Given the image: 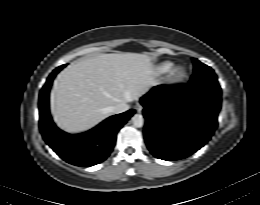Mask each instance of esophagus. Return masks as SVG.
<instances>
[{
    "label": "esophagus",
    "mask_w": 260,
    "mask_h": 205,
    "mask_svg": "<svg viewBox=\"0 0 260 205\" xmlns=\"http://www.w3.org/2000/svg\"><path fill=\"white\" fill-rule=\"evenodd\" d=\"M135 108H136L137 112L140 113L142 111V109H143V106L140 103H137Z\"/></svg>",
    "instance_id": "34e87169"
}]
</instances>
